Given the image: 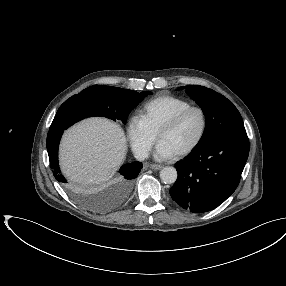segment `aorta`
Instances as JSON below:
<instances>
[{
  "mask_svg": "<svg viewBox=\"0 0 286 286\" xmlns=\"http://www.w3.org/2000/svg\"><path fill=\"white\" fill-rule=\"evenodd\" d=\"M160 178L164 183L172 184L177 179V171L174 167L167 166L160 171Z\"/></svg>",
  "mask_w": 286,
  "mask_h": 286,
  "instance_id": "1",
  "label": "aorta"
}]
</instances>
